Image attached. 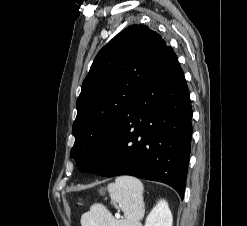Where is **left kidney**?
<instances>
[{
	"label": "left kidney",
	"instance_id": "5707ae66",
	"mask_svg": "<svg viewBox=\"0 0 247 226\" xmlns=\"http://www.w3.org/2000/svg\"><path fill=\"white\" fill-rule=\"evenodd\" d=\"M172 221L168 203L160 200L147 216L144 226H172Z\"/></svg>",
	"mask_w": 247,
	"mask_h": 226
}]
</instances>
